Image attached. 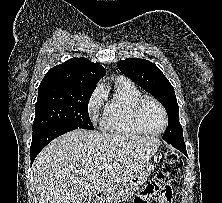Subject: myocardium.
Returning <instances> with one entry per match:
<instances>
[{
	"label": "myocardium",
	"instance_id": "f54148a6",
	"mask_svg": "<svg viewBox=\"0 0 222 203\" xmlns=\"http://www.w3.org/2000/svg\"><path fill=\"white\" fill-rule=\"evenodd\" d=\"M147 102H152V103L156 104L160 108V110L162 111V114L164 117V124H163V127L159 131L149 130L144 125V123L142 121L141 110ZM132 115H133V119H134V122L136 123V125L142 131H144L145 133L150 134V135H155V136L160 135L162 132L165 131V129L168 126V114H167L165 107L163 106V104L160 101H158L157 99L150 97V96H143L134 103L133 108H132Z\"/></svg>",
	"mask_w": 222,
	"mask_h": 203
}]
</instances>
